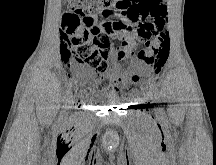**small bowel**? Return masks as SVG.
I'll list each match as a JSON object with an SVG mask.
<instances>
[{
    "mask_svg": "<svg viewBox=\"0 0 216 165\" xmlns=\"http://www.w3.org/2000/svg\"><path fill=\"white\" fill-rule=\"evenodd\" d=\"M162 11L163 13H160ZM167 8L165 0H137L132 5H117V8L103 9L104 19L100 26L102 31L111 40L119 39L125 42L140 41L139 32L142 27L151 21L166 17ZM129 13H138L137 17L131 16ZM115 52L110 55V62L118 61ZM65 65H69L66 64ZM72 69V75H66L65 79L72 89L74 81L87 75L86 70L78 65H69ZM120 80V79H119ZM135 83L140 81L139 77L133 80ZM97 91L96 86L89 88V93Z\"/></svg>",
    "mask_w": 216,
    "mask_h": 165,
    "instance_id": "1",
    "label": "small bowel"
}]
</instances>
